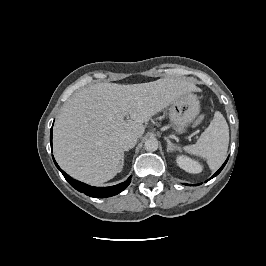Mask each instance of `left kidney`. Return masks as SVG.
<instances>
[{
  "label": "left kidney",
  "mask_w": 266,
  "mask_h": 266,
  "mask_svg": "<svg viewBox=\"0 0 266 266\" xmlns=\"http://www.w3.org/2000/svg\"><path fill=\"white\" fill-rule=\"evenodd\" d=\"M176 162L181 169L189 173H200L203 169L200 163L187 156H178Z\"/></svg>",
  "instance_id": "1"
}]
</instances>
